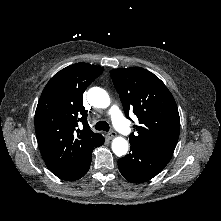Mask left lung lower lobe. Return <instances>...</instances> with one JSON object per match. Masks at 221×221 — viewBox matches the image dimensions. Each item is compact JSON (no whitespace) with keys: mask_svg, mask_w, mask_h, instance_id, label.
Wrapping results in <instances>:
<instances>
[{"mask_svg":"<svg viewBox=\"0 0 221 221\" xmlns=\"http://www.w3.org/2000/svg\"><path fill=\"white\" fill-rule=\"evenodd\" d=\"M130 144L131 152L118 160V168L123 177L132 183H142L152 179L170 161V158L154 153L141 145Z\"/></svg>","mask_w":221,"mask_h":221,"instance_id":"1","label":"left lung lower lobe"}]
</instances>
